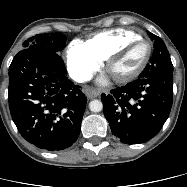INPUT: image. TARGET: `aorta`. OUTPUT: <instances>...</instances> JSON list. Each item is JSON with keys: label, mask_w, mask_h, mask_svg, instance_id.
I'll list each match as a JSON object with an SVG mask.
<instances>
[{"label": "aorta", "mask_w": 187, "mask_h": 187, "mask_svg": "<svg viewBox=\"0 0 187 187\" xmlns=\"http://www.w3.org/2000/svg\"><path fill=\"white\" fill-rule=\"evenodd\" d=\"M89 108L94 113L101 112L103 109V104L100 100L94 99V100L90 101Z\"/></svg>", "instance_id": "762f6f07"}]
</instances>
